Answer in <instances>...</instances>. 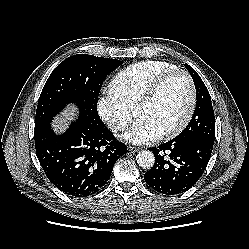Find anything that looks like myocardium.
<instances>
[{
  "label": "myocardium",
  "instance_id": "myocardium-1",
  "mask_svg": "<svg viewBox=\"0 0 249 249\" xmlns=\"http://www.w3.org/2000/svg\"><path fill=\"white\" fill-rule=\"evenodd\" d=\"M175 75H182L186 79L189 88V105L185 115L180 120V122L177 125H175L173 128L163 132V136L166 138L175 137L178 134H180L188 126L194 115L196 109V102H197V92L193 78L190 75V73L184 69L176 68L174 70L168 71L160 75L152 82V84L148 87V89L145 91V93L142 95V97L139 99L136 105V111L139 114L140 109L144 105L151 102L156 97V95L160 91L161 87L165 84V82Z\"/></svg>",
  "mask_w": 249,
  "mask_h": 249
}]
</instances>
